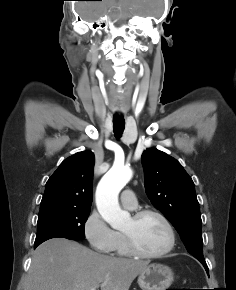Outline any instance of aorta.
<instances>
[{
  "label": "aorta",
  "mask_w": 236,
  "mask_h": 290,
  "mask_svg": "<svg viewBox=\"0 0 236 290\" xmlns=\"http://www.w3.org/2000/svg\"><path fill=\"white\" fill-rule=\"evenodd\" d=\"M132 171L125 166H113L100 180L96 189V206L102 218L114 229L123 228L130 214L123 211L118 195L130 181Z\"/></svg>",
  "instance_id": "762f6f07"
}]
</instances>
